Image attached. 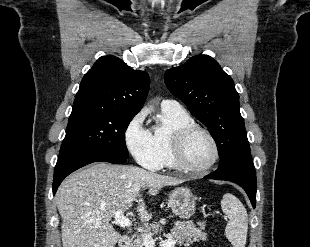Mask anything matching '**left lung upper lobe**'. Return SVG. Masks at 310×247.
Here are the masks:
<instances>
[{"label":"left lung upper lobe","instance_id":"1","mask_svg":"<svg viewBox=\"0 0 310 247\" xmlns=\"http://www.w3.org/2000/svg\"><path fill=\"white\" fill-rule=\"evenodd\" d=\"M165 84L200 120L216 142L219 167L250 155V146L239 110V94L233 80L210 56L190 58L165 72Z\"/></svg>","mask_w":310,"mask_h":247}]
</instances>
